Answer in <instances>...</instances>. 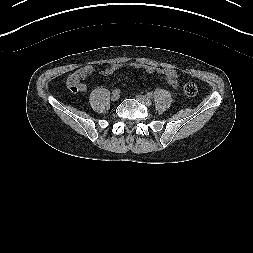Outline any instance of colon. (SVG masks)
<instances>
[{
    "instance_id": "1",
    "label": "colon",
    "mask_w": 253,
    "mask_h": 253,
    "mask_svg": "<svg viewBox=\"0 0 253 253\" xmlns=\"http://www.w3.org/2000/svg\"><path fill=\"white\" fill-rule=\"evenodd\" d=\"M86 75L87 74L81 72L80 70H78L76 73L72 74L67 81L68 89L72 92H78L79 91V84L81 83V80ZM183 90L187 96H195L198 92V87L194 82H187L184 85Z\"/></svg>"
}]
</instances>
